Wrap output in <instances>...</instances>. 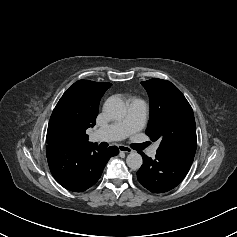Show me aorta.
Instances as JSON below:
<instances>
[{
    "label": "aorta",
    "instance_id": "1",
    "mask_svg": "<svg viewBox=\"0 0 237 237\" xmlns=\"http://www.w3.org/2000/svg\"><path fill=\"white\" fill-rule=\"evenodd\" d=\"M105 113L113 119H121L126 115V105L122 99L116 96L109 97L104 103ZM142 156L137 152H131L126 158L129 168L137 170L142 166Z\"/></svg>",
    "mask_w": 237,
    "mask_h": 237
}]
</instances>
